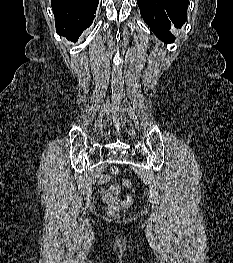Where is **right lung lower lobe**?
Returning <instances> with one entry per match:
<instances>
[{"mask_svg":"<svg viewBox=\"0 0 233 263\" xmlns=\"http://www.w3.org/2000/svg\"><path fill=\"white\" fill-rule=\"evenodd\" d=\"M98 0H52L56 32L75 42L95 18Z\"/></svg>","mask_w":233,"mask_h":263,"instance_id":"1","label":"right lung lower lobe"}]
</instances>
